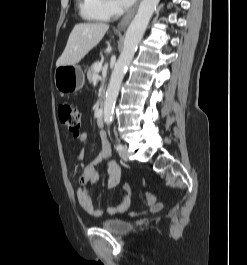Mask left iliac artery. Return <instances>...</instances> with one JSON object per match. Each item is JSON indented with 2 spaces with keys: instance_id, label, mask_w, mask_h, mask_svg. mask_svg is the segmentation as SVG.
<instances>
[{
  "instance_id": "obj_1",
  "label": "left iliac artery",
  "mask_w": 247,
  "mask_h": 265,
  "mask_svg": "<svg viewBox=\"0 0 247 265\" xmlns=\"http://www.w3.org/2000/svg\"><path fill=\"white\" fill-rule=\"evenodd\" d=\"M123 148V146L120 144V143H117L116 145H115V149L116 150H121Z\"/></svg>"
}]
</instances>
